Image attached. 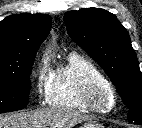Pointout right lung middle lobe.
Listing matches in <instances>:
<instances>
[{"label":"right lung middle lobe","instance_id":"obj_1","mask_svg":"<svg viewBox=\"0 0 142 128\" xmlns=\"http://www.w3.org/2000/svg\"><path fill=\"white\" fill-rule=\"evenodd\" d=\"M33 63L30 60L12 72L0 74V114L23 109L28 104Z\"/></svg>","mask_w":142,"mask_h":128}]
</instances>
